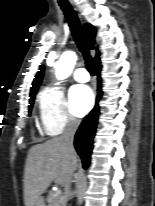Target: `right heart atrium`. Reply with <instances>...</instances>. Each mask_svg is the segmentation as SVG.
I'll return each mask as SVG.
<instances>
[{"label": "right heart atrium", "instance_id": "right-heart-atrium-1", "mask_svg": "<svg viewBox=\"0 0 155 206\" xmlns=\"http://www.w3.org/2000/svg\"><path fill=\"white\" fill-rule=\"evenodd\" d=\"M40 121L48 135H58L66 129H74L79 120L71 112L65 95L56 86H49L41 93Z\"/></svg>", "mask_w": 155, "mask_h": 206}]
</instances>
